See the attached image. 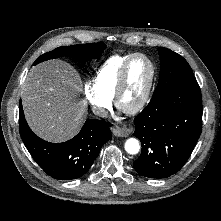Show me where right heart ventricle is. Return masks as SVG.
<instances>
[{
	"label": "right heart ventricle",
	"mask_w": 221,
	"mask_h": 221,
	"mask_svg": "<svg viewBox=\"0 0 221 221\" xmlns=\"http://www.w3.org/2000/svg\"><path fill=\"white\" fill-rule=\"evenodd\" d=\"M132 54L113 55L97 70L93 83L106 97L113 99L120 71Z\"/></svg>",
	"instance_id": "1"
}]
</instances>
